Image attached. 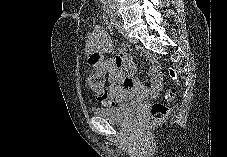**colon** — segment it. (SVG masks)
I'll return each mask as SVG.
<instances>
[{
    "instance_id": "1",
    "label": "colon",
    "mask_w": 227,
    "mask_h": 157,
    "mask_svg": "<svg viewBox=\"0 0 227 157\" xmlns=\"http://www.w3.org/2000/svg\"><path fill=\"white\" fill-rule=\"evenodd\" d=\"M170 76L173 81L178 85L179 77L175 69H170ZM88 86L95 92L100 93L104 88V80L102 75L92 72L87 77ZM176 96V89L172 88L166 91L165 99L172 101ZM170 113V108L163 103H154L151 106V119L153 123H158L164 120Z\"/></svg>"
}]
</instances>
